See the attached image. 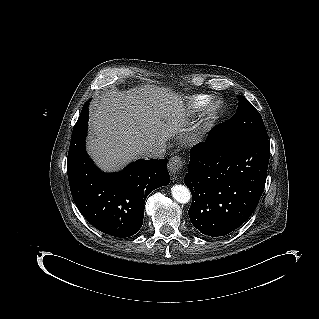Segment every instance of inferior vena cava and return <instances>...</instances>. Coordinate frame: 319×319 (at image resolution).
Listing matches in <instances>:
<instances>
[{"label": "inferior vena cava", "mask_w": 319, "mask_h": 319, "mask_svg": "<svg viewBox=\"0 0 319 319\" xmlns=\"http://www.w3.org/2000/svg\"><path fill=\"white\" fill-rule=\"evenodd\" d=\"M142 153L145 158L162 159L166 153V146H149L142 148Z\"/></svg>", "instance_id": "inferior-vena-cava-1"}]
</instances>
